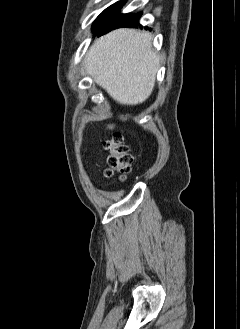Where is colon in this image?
<instances>
[{"label":"colon","instance_id":"5ec220e1","mask_svg":"<svg viewBox=\"0 0 240 329\" xmlns=\"http://www.w3.org/2000/svg\"><path fill=\"white\" fill-rule=\"evenodd\" d=\"M106 149L109 151L108 166L106 171L108 177L115 175L124 179L131 170L132 156L129 153L128 146L124 143L121 134H114L106 141Z\"/></svg>","mask_w":240,"mask_h":329}]
</instances>
